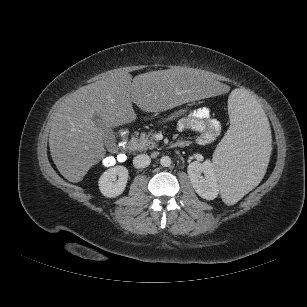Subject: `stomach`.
<instances>
[{
  "mask_svg": "<svg viewBox=\"0 0 307 307\" xmlns=\"http://www.w3.org/2000/svg\"><path fill=\"white\" fill-rule=\"evenodd\" d=\"M181 114H183V111L176 112L173 115H171L170 117L163 119L162 122L165 123L167 121H171V120L175 119L176 117L180 116Z\"/></svg>",
  "mask_w": 307,
  "mask_h": 307,
  "instance_id": "obj_1",
  "label": "stomach"
}]
</instances>
